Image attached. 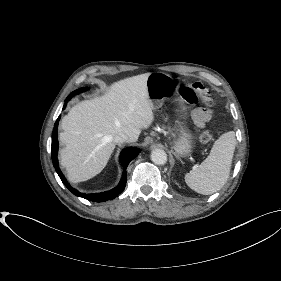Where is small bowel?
<instances>
[{
    "instance_id": "obj_1",
    "label": "small bowel",
    "mask_w": 281,
    "mask_h": 281,
    "mask_svg": "<svg viewBox=\"0 0 281 281\" xmlns=\"http://www.w3.org/2000/svg\"><path fill=\"white\" fill-rule=\"evenodd\" d=\"M211 118V111L208 109L197 108L193 112V119L198 127H203Z\"/></svg>"
}]
</instances>
